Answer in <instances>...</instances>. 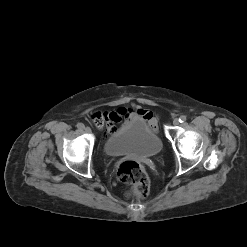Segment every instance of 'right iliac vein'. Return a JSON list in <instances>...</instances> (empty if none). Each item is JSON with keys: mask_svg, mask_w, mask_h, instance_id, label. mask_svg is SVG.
<instances>
[{"mask_svg": "<svg viewBox=\"0 0 247 247\" xmlns=\"http://www.w3.org/2000/svg\"><path fill=\"white\" fill-rule=\"evenodd\" d=\"M84 130H85L86 133H91V128L90 127H85Z\"/></svg>", "mask_w": 247, "mask_h": 247, "instance_id": "right-iliac-vein-1", "label": "right iliac vein"}]
</instances>
